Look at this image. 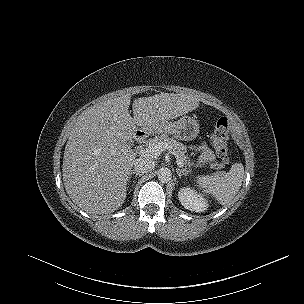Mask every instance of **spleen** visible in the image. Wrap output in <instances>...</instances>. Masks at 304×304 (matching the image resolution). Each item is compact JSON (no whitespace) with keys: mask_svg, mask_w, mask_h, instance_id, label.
Here are the masks:
<instances>
[{"mask_svg":"<svg viewBox=\"0 0 304 304\" xmlns=\"http://www.w3.org/2000/svg\"><path fill=\"white\" fill-rule=\"evenodd\" d=\"M243 177V164L235 163L227 173L220 172L211 176H198L196 182L205 193L212 195L222 205H225L231 202L238 193Z\"/></svg>","mask_w":304,"mask_h":304,"instance_id":"1","label":"spleen"}]
</instances>
